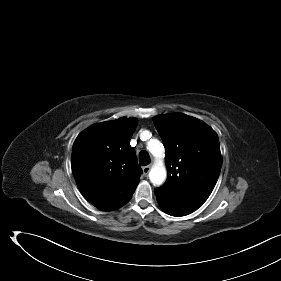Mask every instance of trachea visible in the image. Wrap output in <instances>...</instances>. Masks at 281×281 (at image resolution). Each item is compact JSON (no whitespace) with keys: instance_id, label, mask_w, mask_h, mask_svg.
<instances>
[{"instance_id":"trachea-1","label":"trachea","mask_w":281,"mask_h":281,"mask_svg":"<svg viewBox=\"0 0 281 281\" xmlns=\"http://www.w3.org/2000/svg\"><path fill=\"white\" fill-rule=\"evenodd\" d=\"M139 163L142 166H146L150 163V156L147 151H141L139 153Z\"/></svg>"}]
</instances>
